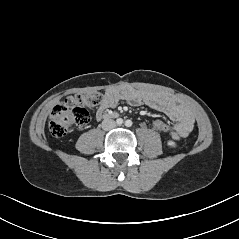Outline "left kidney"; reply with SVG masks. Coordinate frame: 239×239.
<instances>
[{
	"label": "left kidney",
	"mask_w": 239,
	"mask_h": 239,
	"mask_svg": "<svg viewBox=\"0 0 239 239\" xmlns=\"http://www.w3.org/2000/svg\"><path fill=\"white\" fill-rule=\"evenodd\" d=\"M167 144H168V146H170V147H176V143L174 142V141H168L167 142Z\"/></svg>",
	"instance_id": "5707ae66"
}]
</instances>
